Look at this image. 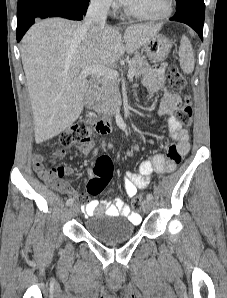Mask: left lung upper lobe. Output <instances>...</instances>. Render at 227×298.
Masks as SVG:
<instances>
[{
	"label": "left lung upper lobe",
	"mask_w": 227,
	"mask_h": 298,
	"mask_svg": "<svg viewBox=\"0 0 227 298\" xmlns=\"http://www.w3.org/2000/svg\"><path fill=\"white\" fill-rule=\"evenodd\" d=\"M178 8H183L188 4H196L201 8L205 9V4L203 0H176Z\"/></svg>",
	"instance_id": "left-lung-upper-lobe-1"
}]
</instances>
